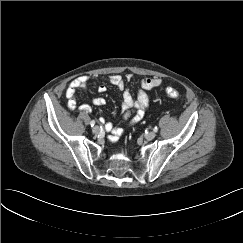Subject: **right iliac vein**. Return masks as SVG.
I'll list each match as a JSON object with an SVG mask.
<instances>
[{
  "label": "right iliac vein",
  "instance_id": "right-iliac-vein-1",
  "mask_svg": "<svg viewBox=\"0 0 243 243\" xmlns=\"http://www.w3.org/2000/svg\"><path fill=\"white\" fill-rule=\"evenodd\" d=\"M92 132L94 134H98L100 132V127L99 126H95L93 129H92Z\"/></svg>",
  "mask_w": 243,
  "mask_h": 243
}]
</instances>
